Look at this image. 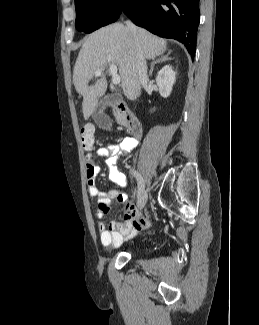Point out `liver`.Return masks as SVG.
Masks as SVG:
<instances>
[{"label": "liver", "mask_w": 259, "mask_h": 325, "mask_svg": "<svg viewBox=\"0 0 259 325\" xmlns=\"http://www.w3.org/2000/svg\"><path fill=\"white\" fill-rule=\"evenodd\" d=\"M137 46L147 59H154L167 49L164 39L142 28H137L135 40L128 27L122 23L102 27L86 37L73 71L75 89L83 96L85 120L93 114L99 97L103 96L107 89L104 76L94 85H88L98 69L104 71L110 64H115L119 68L124 95L130 100H135L140 95L141 83L135 67Z\"/></svg>", "instance_id": "6515ba94"}]
</instances>
